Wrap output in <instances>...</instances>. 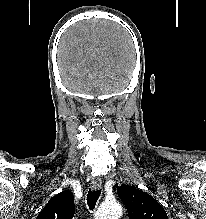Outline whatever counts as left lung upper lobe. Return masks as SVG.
<instances>
[{
	"label": "left lung upper lobe",
	"instance_id": "1",
	"mask_svg": "<svg viewBox=\"0 0 206 219\" xmlns=\"http://www.w3.org/2000/svg\"><path fill=\"white\" fill-rule=\"evenodd\" d=\"M117 193L128 211L129 219H168L157 200L142 190L121 185L117 186Z\"/></svg>",
	"mask_w": 206,
	"mask_h": 219
}]
</instances>
